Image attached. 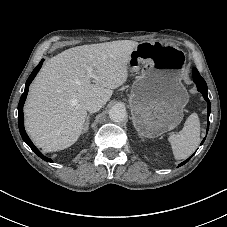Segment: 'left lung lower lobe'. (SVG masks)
Masks as SVG:
<instances>
[{
	"label": "left lung lower lobe",
	"instance_id": "obj_1",
	"mask_svg": "<svg viewBox=\"0 0 227 227\" xmlns=\"http://www.w3.org/2000/svg\"><path fill=\"white\" fill-rule=\"evenodd\" d=\"M195 71H196V68L193 69V79H194V82L197 86L198 91L202 93L204 99L206 100V102L208 104L207 114H208V117H209L210 111H211V104H210V101H209L208 95H207V84L201 76H199L198 74H194ZM208 128H209V120H208ZM208 128H207V132H208ZM204 140H205V138H204ZM204 140L201 142V144L204 142ZM191 157H189L187 160H185L184 162L179 164V167L184 165L185 163H187L190 160Z\"/></svg>",
	"mask_w": 227,
	"mask_h": 227
}]
</instances>
